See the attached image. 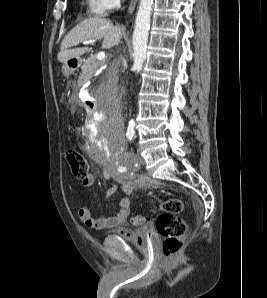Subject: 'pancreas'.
<instances>
[{
    "mask_svg": "<svg viewBox=\"0 0 267 298\" xmlns=\"http://www.w3.org/2000/svg\"><path fill=\"white\" fill-rule=\"evenodd\" d=\"M105 61H99L96 56L87 59L81 67L82 74L81 79L89 80L92 78L93 74L103 66Z\"/></svg>",
    "mask_w": 267,
    "mask_h": 298,
    "instance_id": "obj_1",
    "label": "pancreas"
}]
</instances>
